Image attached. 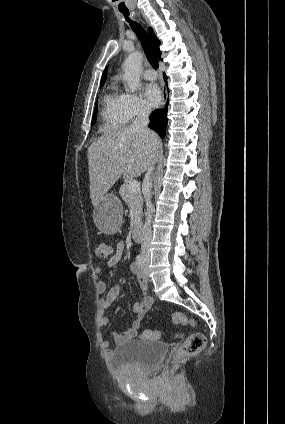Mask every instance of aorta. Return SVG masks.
I'll use <instances>...</instances> for the list:
<instances>
[{
    "label": "aorta",
    "mask_w": 285,
    "mask_h": 424,
    "mask_svg": "<svg viewBox=\"0 0 285 424\" xmlns=\"http://www.w3.org/2000/svg\"><path fill=\"white\" fill-rule=\"evenodd\" d=\"M143 54L139 51L131 53L124 61V79L128 91L134 92L140 87V73Z\"/></svg>",
    "instance_id": "obj_1"
}]
</instances>
